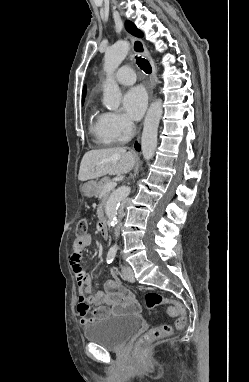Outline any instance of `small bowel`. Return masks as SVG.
Instances as JSON below:
<instances>
[{
  "mask_svg": "<svg viewBox=\"0 0 249 382\" xmlns=\"http://www.w3.org/2000/svg\"><path fill=\"white\" fill-rule=\"evenodd\" d=\"M91 243L88 234L82 241L75 240L72 253L68 254L73 273L76 278L80 294L77 297V315L82 326H87L99 319L113 314H126L137 312L139 307L134 296L123 287L115 274L104 284V290L95 291L92 287L91 278L81 264L82 251ZM85 292L87 296H84ZM94 305L93 315L89 316V308Z\"/></svg>",
  "mask_w": 249,
  "mask_h": 382,
  "instance_id": "obj_1",
  "label": "small bowel"
}]
</instances>
